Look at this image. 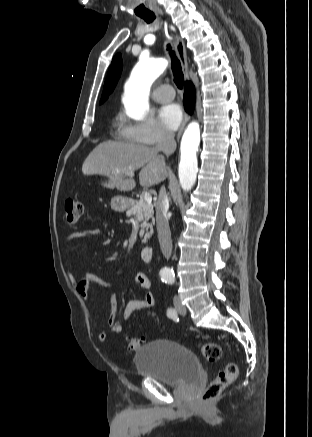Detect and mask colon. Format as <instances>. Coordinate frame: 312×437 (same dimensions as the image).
Returning <instances> with one entry per match:
<instances>
[{
    "mask_svg": "<svg viewBox=\"0 0 312 437\" xmlns=\"http://www.w3.org/2000/svg\"><path fill=\"white\" fill-rule=\"evenodd\" d=\"M65 220L68 224H75L83 214L84 206L79 200L67 198L64 203ZM142 341L137 338H131L128 343L130 352L137 351ZM200 351L208 362L219 361L223 356L221 346L214 342L200 344ZM238 368L234 362L227 363L208 385L203 393L202 399L209 401L218 397L225 388H227L237 377Z\"/></svg>",
    "mask_w": 312,
    "mask_h": 437,
    "instance_id": "colon-1",
    "label": "colon"
}]
</instances>
